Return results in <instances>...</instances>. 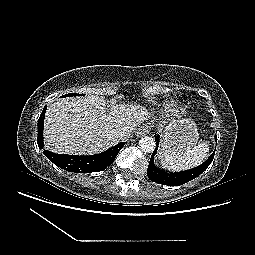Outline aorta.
I'll return each mask as SVG.
<instances>
[{
    "mask_svg": "<svg viewBox=\"0 0 255 255\" xmlns=\"http://www.w3.org/2000/svg\"><path fill=\"white\" fill-rule=\"evenodd\" d=\"M139 146L146 153L153 152L156 147L154 138L145 136L139 140Z\"/></svg>",
    "mask_w": 255,
    "mask_h": 255,
    "instance_id": "1",
    "label": "aorta"
}]
</instances>
